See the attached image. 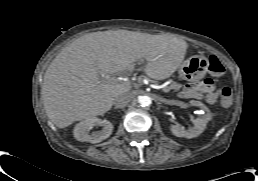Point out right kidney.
<instances>
[{"label":"right kidney","instance_id":"obj_1","mask_svg":"<svg viewBox=\"0 0 258 181\" xmlns=\"http://www.w3.org/2000/svg\"><path fill=\"white\" fill-rule=\"evenodd\" d=\"M95 126H102L101 131L89 133ZM113 130V124L107 120H101L96 117H89L77 123L73 130V135L76 140L81 142L99 143L107 139Z\"/></svg>","mask_w":258,"mask_h":181}]
</instances>
